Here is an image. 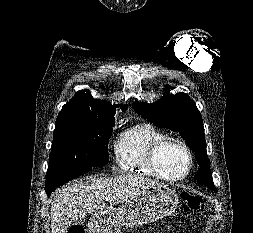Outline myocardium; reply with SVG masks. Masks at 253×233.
I'll return each mask as SVG.
<instances>
[{
    "instance_id": "myocardium-1",
    "label": "myocardium",
    "mask_w": 253,
    "mask_h": 233,
    "mask_svg": "<svg viewBox=\"0 0 253 233\" xmlns=\"http://www.w3.org/2000/svg\"><path fill=\"white\" fill-rule=\"evenodd\" d=\"M172 147L182 149L188 157V162H189L188 167L183 175L168 176L163 173V170L161 168V164H160L161 155L167 149L172 148ZM148 163L151 169L157 175V177L165 181L175 182V181H181L190 175L194 166V156H193L192 150L189 148V146L186 143L177 139L167 138L153 145V147L151 148L149 152Z\"/></svg>"
}]
</instances>
